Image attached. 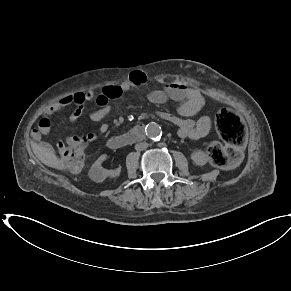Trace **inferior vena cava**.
Returning a JSON list of instances; mask_svg holds the SVG:
<instances>
[{"instance_id":"inferior-vena-cava-1","label":"inferior vena cava","mask_w":291,"mask_h":291,"mask_svg":"<svg viewBox=\"0 0 291 291\" xmlns=\"http://www.w3.org/2000/svg\"><path fill=\"white\" fill-rule=\"evenodd\" d=\"M147 147H148V143H146V142H141V143H138L135 145V149L137 151H143V150L147 149Z\"/></svg>"}]
</instances>
